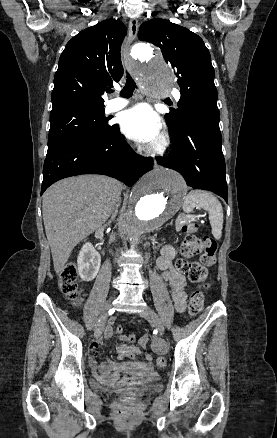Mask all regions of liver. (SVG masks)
Returning a JSON list of instances; mask_svg holds the SVG:
<instances>
[{
    "label": "liver",
    "mask_w": 277,
    "mask_h": 438,
    "mask_svg": "<svg viewBox=\"0 0 277 438\" xmlns=\"http://www.w3.org/2000/svg\"><path fill=\"white\" fill-rule=\"evenodd\" d=\"M122 184L107 176H74L53 184L43 196V222L54 270L62 274L84 238L111 224L121 204Z\"/></svg>",
    "instance_id": "obj_1"
}]
</instances>
